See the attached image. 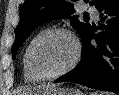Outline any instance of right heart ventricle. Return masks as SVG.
Segmentation results:
<instances>
[{
    "label": "right heart ventricle",
    "instance_id": "e07e8e85",
    "mask_svg": "<svg viewBox=\"0 0 119 95\" xmlns=\"http://www.w3.org/2000/svg\"><path fill=\"white\" fill-rule=\"evenodd\" d=\"M48 29H43L41 31H39L37 34H35L31 40L28 42V44L26 45L24 52H23V56H22V65H23V74H24V78L27 82H39L42 79L39 78L38 76H36L33 71L31 70L30 66H29V62H28V54H29V50L30 47L32 45V43L34 42V40L43 32H45Z\"/></svg>",
    "mask_w": 119,
    "mask_h": 95
}]
</instances>
